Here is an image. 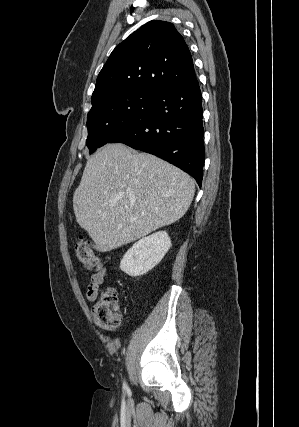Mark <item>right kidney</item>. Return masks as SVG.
<instances>
[{"mask_svg":"<svg viewBox=\"0 0 299 427\" xmlns=\"http://www.w3.org/2000/svg\"><path fill=\"white\" fill-rule=\"evenodd\" d=\"M171 247L167 232L159 231L140 239L123 256L120 269L136 277L153 269Z\"/></svg>","mask_w":299,"mask_h":427,"instance_id":"right-kidney-1","label":"right kidney"}]
</instances>
